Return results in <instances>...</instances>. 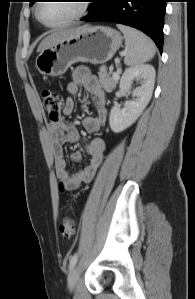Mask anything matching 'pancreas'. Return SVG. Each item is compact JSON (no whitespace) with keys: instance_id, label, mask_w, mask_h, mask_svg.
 <instances>
[{"instance_id":"1","label":"pancreas","mask_w":195,"mask_h":299,"mask_svg":"<svg viewBox=\"0 0 195 299\" xmlns=\"http://www.w3.org/2000/svg\"><path fill=\"white\" fill-rule=\"evenodd\" d=\"M111 74L112 72H107V68L105 65H102L100 67V71L98 73L100 82L103 88L108 92H111L116 87V84L119 80V78H114L113 76L111 77Z\"/></svg>"}]
</instances>
